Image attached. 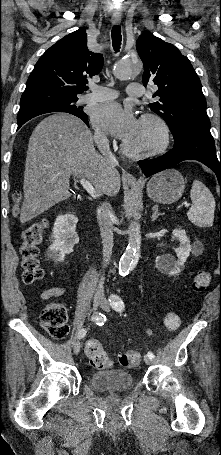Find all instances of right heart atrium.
<instances>
[{"mask_svg": "<svg viewBox=\"0 0 221 455\" xmlns=\"http://www.w3.org/2000/svg\"><path fill=\"white\" fill-rule=\"evenodd\" d=\"M95 139L100 148H104L108 144V138L103 132L97 131L95 133Z\"/></svg>", "mask_w": 221, "mask_h": 455, "instance_id": "d8ad5b80", "label": "right heart atrium"}]
</instances>
